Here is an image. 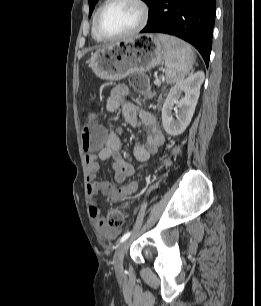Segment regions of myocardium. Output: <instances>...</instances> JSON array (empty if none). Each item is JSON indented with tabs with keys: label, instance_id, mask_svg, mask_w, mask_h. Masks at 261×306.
I'll return each instance as SVG.
<instances>
[{
	"label": "myocardium",
	"instance_id": "myocardium-1",
	"mask_svg": "<svg viewBox=\"0 0 261 306\" xmlns=\"http://www.w3.org/2000/svg\"><path fill=\"white\" fill-rule=\"evenodd\" d=\"M119 0H106L97 10L95 17H94V21H93V30L94 33L96 35L97 38H99L100 40L103 41H117V40H122V39H126L129 38L131 36L136 35L137 33H139L147 24L148 19H149V8L148 5L146 4V2L144 0H128L134 4H136L140 11H141V19L139 21V23L137 24V26L131 30L130 32H127L125 34H120V35H107L105 34L101 28H100V19L101 16L103 14V12L105 11V9L117 2Z\"/></svg>",
	"mask_w": 261,
	"mask_h": 306
}]
</instances>
